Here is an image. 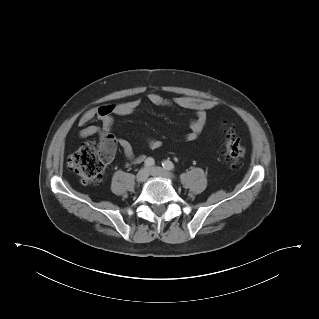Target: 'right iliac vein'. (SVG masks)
I'll return each mask as SVG.
<instances>
[{"instance_id": "right-iliac-vein-1", "label": "right iliac vein", "mask_w": 319, "mask_h": 319, "mask_svg": "<svg viewBox=\"0 0 319 319\" xmlns=\"http://www.w3.org/2000/svg\"><path fill=\"white\" fill-rule=\"evenodd\" d=\"M149 172L147 168H142L136 174V181L138 183L144 182L148 178Z\"/></svg>"}]
</instances>
